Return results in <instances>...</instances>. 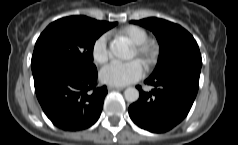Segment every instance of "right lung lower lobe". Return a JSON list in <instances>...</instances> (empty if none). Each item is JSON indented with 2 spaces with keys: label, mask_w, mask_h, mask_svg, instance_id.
<instances>
[{
  "label": "right lung lower lobe",
  "mask_w": 238,
  "mask_h": 145,
  "mask_svg": "<svg viewBox=\"0 0 238 145\" xmlns=\"http://www.w3.org/2000/svg\"><path fill=\"white\" fill-rule=\"evenodd\" d=\"M37 99L51 122L64 131L92 126L100 117L106 86L96 87L97 69L62 59L31 63Z\"/></svg>",
  "instance_id": "98d812e1"
}]
</instances>
